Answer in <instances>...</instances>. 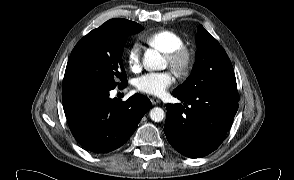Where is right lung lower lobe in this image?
<instances>
[{
    "label": "right lung lower lobe",
    "mask_w": 294,
    "mask_h": 180,
    "mask_svg": "<svg viewBox=\"0 0 294 180\" xmlns=\"http://www.w3.org/2000/svg\"><path fill=\"white\" fill-rule=\"evenodd\" d=\"M110 90L97 85L62 90L70 130L91 152L107 153L125 144L152 106L148 98L138 94L125 102L111 99Z\"/></svg>",
    "instance_id": "obj_1"
}]
</instances>
